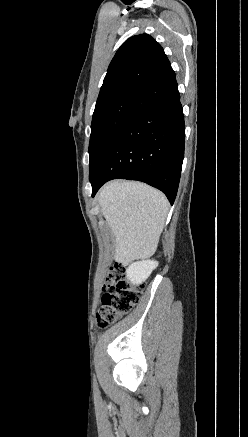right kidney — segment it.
I'll list each match as a JSON object with an SVG mask.
<instances>
[{
  "label": "right kidney",
  "mask_w": 248,
  "mask_h": 437,
  "mask_svg": "<svg viewBox=\"0 0 248 437\" xmlns=\"http://www.w3.org/2000/svg\"><path fill=\"white\" fill-rule=\"evenodd\" d=\"M157 266L158 262L154 260L135 262L127 268V278L133 285L142 284Z\"/></svg>",
  "instance_id": "obj_1"
}]
</instances>
